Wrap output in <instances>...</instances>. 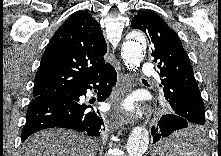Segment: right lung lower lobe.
I'll return each instance as SVG.
<instances>
[{
    "label": "right lung lower lobe",
    "mask_w": 221,
    "mask_h": 156,
    "mask_svg": "<svg viewBox=\"0 0 221 156\" xmlns=\"http://www.w3.org/2000/svg\"><path fill=\"white\" fill-rule=\"evenodd\" d=\"M117 73L109 64L99 74L91 77L72 91L58 96L34 97L29 105L22 142L33 133L52 127H62L99 136L104 122L99 111L84 103L81 96L87 89L98 91V101H105L116 84Z\"/></svg>",
    "instance_id": "1"
}]
</instances>
